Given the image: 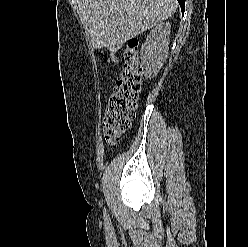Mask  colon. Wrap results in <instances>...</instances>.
<instances>
[{
	"instance_id": "obj_1",
	"label": "colon",
	"mask_w": 248,
	"mask_h": 247,
	"mask_svg": "<svg viewBox=\"0 0 248 247\" xmlns=\"http://www.w3.org/2000/svg\"><path fill=\"white\" fill-rule=\"evenodd\" d=\"M108 61L117 62L113 56H109ZM123 65V71L109 95L103 116L104 137L110 145L118 142L135 117L142 84V67L136 39L128 42L124 51Z\"/></svg>"
}]
</instances>
